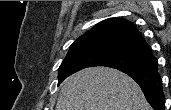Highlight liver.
Segmentation results:
<instances>
[{
	"label": "liver",
	"mask_w": 171,
	"mask_h": 110,
	"mask_svg": "<svg viewBox=\"0 0 171 110\" xmlns=\"http://www.w3.org/2000/svg\"><path fill=\"white\" fill-rule=\"evenodd\" d=\"M56 110H151L139 85L107 67L86 68L63 83Z\"/></svg>",
	"instance_id": "obj_1"
}]
</instances>
